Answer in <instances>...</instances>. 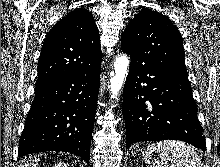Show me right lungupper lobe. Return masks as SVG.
Listing matches in <instances>:
<instances>
[{
	"label": "right lung upper lobe",
	"instance_id": "1",
	"mask_svg": "<svg viewBox=\"0 0 220 167\" xmlns=\"http://www.w3.org/2000/svg\"><path fill=\"white\" fill-rule=\"evenodd\" d=\"M99 31L87 9L77 8L47 34L38 62L36 86L87 71L100 64Z\"/></svg>",
	"mask_w": 220,
	"mask_h": 167
}]
</instances>
